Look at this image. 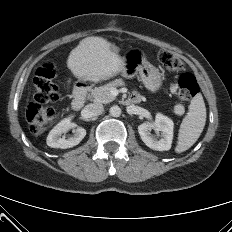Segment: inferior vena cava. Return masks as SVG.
<instances>
[{"label":"inferior vena cava","mask_w":232,"mask_h":232,"mask_svg":"<svg viewBox=\"0 0 232 232\" xmlns=\"http://www.w3.org/2000/svg\"><path fill=\"white\" fill-rule=\"evenodd\" d=\"M104 111V107L100 103H93L87 105L83 110V116L85 118H90L93 116L101 115Z\"/></svg>","instance_id":"obj_1"}]
</instances>
